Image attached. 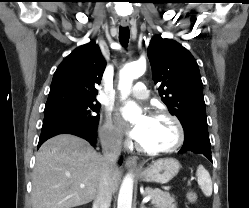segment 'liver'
<instances>
[{
    "mask_svg": "<svg viewBox=\"0 0 249 208\" xmlns=\"http://www.w3.org/2000/svg\"><path fill=\"white\" fill-rule=\"evenodd\" d=\"M102 168V155L86 140L70 134L50 138L36 154L32 208H72L91 202L100 191ZM120 178L117 167L110 182L113 193Z\"/></svg>",
    "mask_w": 249,
    "mask_h": 208,
    "instance_id": "liver-1",
    "label": "liver"
}]
</instances>
